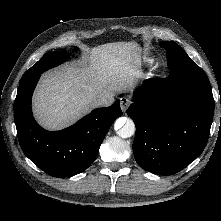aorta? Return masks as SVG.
<instances>
[{"instance_id": "1", "label": "aorta", "mask_w": 221, "mask_h": 221, "mask_svg": "<svg viewBox=\"0 0 221 221\" xmlns=\"http://www.w3.org/2000/svg\"><path fill=\"white\" fill-rule=\"evenodd\" d=\"M114 128L122 138H130L135 133V124L130 118L120 117L116 120Z\"/></svg>"}]
</instances>
